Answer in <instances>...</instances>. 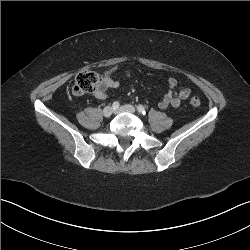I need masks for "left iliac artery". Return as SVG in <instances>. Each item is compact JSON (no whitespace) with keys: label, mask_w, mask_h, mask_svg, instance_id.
<instances>
[{"label":"left iliac artery","mask_w":250,"mask_h":250,"mask_svg":"<svg viewBox=\"0 0 250 250\" xmlns=\"http://www.w3.org/2000/svg\"><path fill=\"white\" fill-rule=\"evenodd\" d=\"M137 110L139 111V113L145 115L146 114V110L142 105H137Z\"/></svg>","instance_id":"1"}]
</instances>
